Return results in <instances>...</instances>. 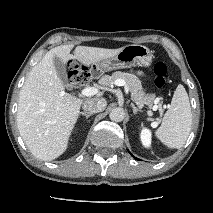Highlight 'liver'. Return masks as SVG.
<instances>
[{
    "label": "liver",
    "mask_w": 213,
    "mask_h": 213,
    "mask_svg": "<svg viewBox=\"0 0 213 213\" xmlns=\"http://www.w3.org/2000/svg\"><path fill=\"white\" fill-rule=\"evenodd\" d=\"M72 49L73 45H61L49 50L32 68L19 94V133L30 152L44 161L54 160L66 151L83 103V99L64 92L54 57H59L64 65L76 59L90 70L92 64L115 56L122 48L77 46L71 55Z\"/></svg>",
    "instance_id": "6515ba94"
}]
</instances>
